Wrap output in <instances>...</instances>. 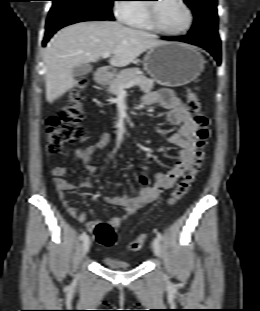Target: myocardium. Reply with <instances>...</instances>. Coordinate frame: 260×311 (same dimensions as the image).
Returning <instances> with one entry per match:
<instances>
[{"instance_id": "obj_1", "label": "myocardium", "mask_w": 260, "mask_h": 311, "mask_svg": "<svg viewBox=\"0 0 260 311\" xmlns=\"http://www.w3.org/2000/svg\"><path fill=\"white\" fill-rule=\"evenodd\" d=\"M159 1L160 0H157V2ZM178 1L185 8L187 15H188L187 25L183 29L178 30V31L167 30L159 24V21L156 16V7H157L156 3L150 2L148 4H145L147 21L153 30L159 33L168 35V36H180V35L186 34L187 32L191 30L193 23H194L193 11L186 0H178Z\"/></svg>"}]
</instances>
